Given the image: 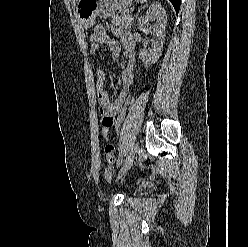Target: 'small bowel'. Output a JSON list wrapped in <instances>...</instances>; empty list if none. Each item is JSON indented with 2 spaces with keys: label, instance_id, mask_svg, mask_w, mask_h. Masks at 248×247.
Here are the masks:
<instances>
[{
  "label": "small bowel",
  "instance_id": "c3829d8e",
  "mask_svg": "<svg viewBox=\"0 0 248 247\" xmlns=\"http://www.w3.org/2000/svg\"><path fill=\"white\" fill-rule=\"evenodd\" d=\"M117 38L105 35L102 38H97L92 35L90 38V53L93 59L102 64V58L99 54V49L104 46L108 49L114 58L121 55L122 51H125L127 56V64L121 72V90L118 96L112 100L109 93L106 90L107 76L103 68L99 67L95 71L96 77V92L99 101L100 115H101V133L105 138V157L109 167H112L115 163V146L110 141L109 134L110 129L114 125L118 112L120 111L131 85L134 81V40L132 36L121 30H115Z\"/></svg>",
  "mask_w": 248,
  "mask_h": 247
}]
</instances>
